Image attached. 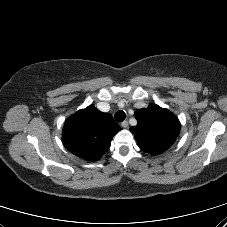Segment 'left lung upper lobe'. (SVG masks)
<instances>
[{
  "mask_svg": "<svg viewBox=\"0 0 227 227\" xmlns=\"http://www.w3.org/2000/svg\"><path fill=\"white\" fill-rule=\"evenodd\" d=\"M138 121L130 128L140 149L151 155H158L170 148L178 137L181 125L169 110L156 104L135 111Z\"/></svg>",
  "mask_w": 227,
  "mask_h": 227,
  "instance_id": "1",
  "label": "left lung upper lobe"
}]
</instances>
